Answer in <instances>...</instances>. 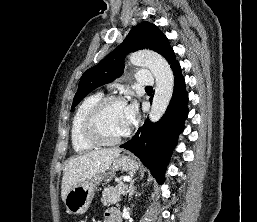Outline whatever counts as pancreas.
Here are the masks:
<instances>
[{
  "mask_svg": "<svg viewBox=\"0 0 257 222\" xmlns=\"http://www.w3.org/2000/svg\"><path fill=\"white\" fill-rule=\"evenodd\" d=\"M127 185L122 182V179L119 180L116 187H105L102 191L101 202L103 205L115 204L120 201L121 195H125Z\"/></svg>",
  "mask_w": 257,
  "mask_h": 222,
  "instance_id": "obj_1",
  "label": "pancreas"
}]
</instances>
